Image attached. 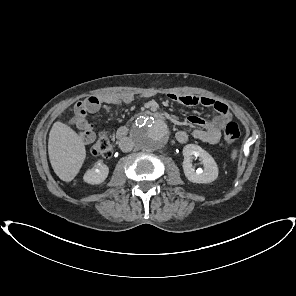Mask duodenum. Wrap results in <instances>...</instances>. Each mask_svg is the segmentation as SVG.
<instances>
[{"label":"duodenum","instance_id":"duodenum-1","mask_svg":"<svg viewBox=\"0 0 296 296\" xmlns=\"http://www.w3.org/2000/svg\"><path fill=\"white\" fill-rule=\"evenodd\" d=\"M141 115H152L157 120H164V115L158 111L144 110ZM116 139L120 147L124 148L128 143V128L121 127L116 133Z\"/></svg>","mask_w":296,"mask_h":296}]
</instances>
